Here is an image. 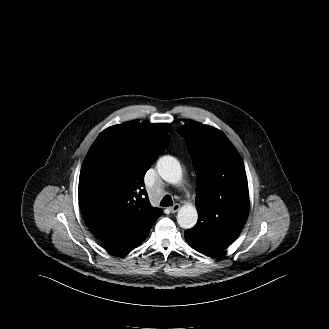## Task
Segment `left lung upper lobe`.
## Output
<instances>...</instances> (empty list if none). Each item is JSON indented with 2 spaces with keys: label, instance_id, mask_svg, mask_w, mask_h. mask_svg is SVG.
<instances>
[{
  "label": "left lung upper lobe",
  "instance_id": "left-lung-upper-lobe-1",
  "mask_svg": "<svg viewBox=\"0 0 329 329\" xmlns=\"http://www.w3.org/2000/svg\"><path fill=\"white\" fill-rule=\"evenodd\" d=\"M197 173L198 223L191 230L210 240L224 229H241L249 211V193L243 161L220 130L193 122L181 126Z\"/></svg>",
  "mask_w": 329,
  "mask_h": 329
}]
</instances>
